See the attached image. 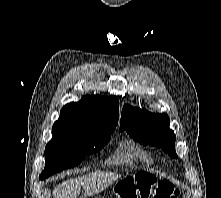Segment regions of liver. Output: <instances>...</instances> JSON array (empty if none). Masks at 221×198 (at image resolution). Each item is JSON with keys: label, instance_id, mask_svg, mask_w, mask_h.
Wrapping results in <instances>:
<instances>
[{"label": "liver", "instance_id": "obj_1", "mask_svg": "<svg viewBox=\"0 0 221 198\" xmlns=\"http://www.w3.org/2000/svg\"><path fill=\"white\" fill-rule=\"evenodd\" d=\"M119 178L120 175L116 173L95 171L94 173L63 181L54 188L52 195L53 198H77L82 187L85 191V198L98 194Z\"/></svg>", "mask_w": 221, "mask_h": 198}]
</instances>
